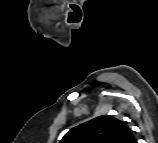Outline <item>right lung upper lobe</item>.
<instances>
[{"instance_id": "1", "label": "right lung upper lobe", "mask_w": 158, "mask_h": 143, "mask_svg": "<svg viewBox=\"0 0 158 143\" xmlns=\"http://www.w3.org/2000/svg\"><path fill=\"white\" fill-rule=\"evenodd\" d=\"M64 143H134L131 128L112 115H101L65 134Z\"/></svg>"}]
</instances>
